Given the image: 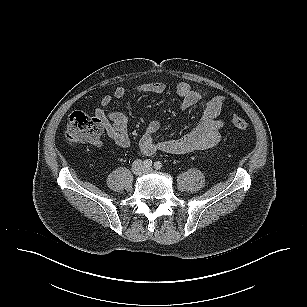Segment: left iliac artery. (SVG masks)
<instances>
[{"instance_id":"44dca946","label":"left iliac artery","mask_w":307,"mask_h":307,"mask_svg":"<svg viewBox=\"0 0 307 307\" xmlns=\"http://www.w3.org/2000/svg\"><path fill=\"white\" fill-rule=\"evenodd\" d=\"M154 168L160 170L162 168V163L160 161H156L154 163Z\"/></svg>"}]
</instances>
